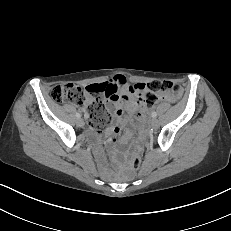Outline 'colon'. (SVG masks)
<instances>
[{
    "instance_id": "colon-1",
    "label": "colon",
    "mask_w": 231,
    "mask_h": 231,
    "mask_svg": "<svg viewBox=\"0 0 231 231\" xmlns=\"http://www.w3.org/2000/svg\"><path fill=\"white\" fill-rule=\"evenodd\" d=\"M98 91V94H92V91ZM103 86L97 84L89 85L85 88L75 84H60L51 90V98L56 103L73 102L83 107L90 118V123L99 128L107 124L110 119L102 102L95 100L101 97L104 92ZM147 94L144 96V103L152 106L156 103L158 95L170 94L177 95L180 93V86L169 81H152L146 85ZM91 100L87 101V98ZM142 161V150L135 147L130 159V169L137 171Z\"/></svg>"
}]
</instances>
